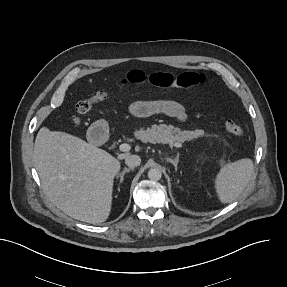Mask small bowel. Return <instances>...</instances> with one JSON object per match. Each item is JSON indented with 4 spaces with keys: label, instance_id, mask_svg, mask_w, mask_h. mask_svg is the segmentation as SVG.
Here are the masks:
<instances>
[{
    "label": "small bowel",
    "instance_id": "1",
    "mask_svg": "<svg viewBox=\"0 0 287 287\" xmlns=\"http://www.w3.org/2000/svg\"><path fill=\"white\" fill-rule=\"evenodd\" d=\"M130 112L137 117H145L155 113H162L179 122H184L187 118V114L183 106L171 100L136 101L131 104Z\"/></svg>",
    "mask_w": 287,
    "mask_h": 287
}]
</instances>
